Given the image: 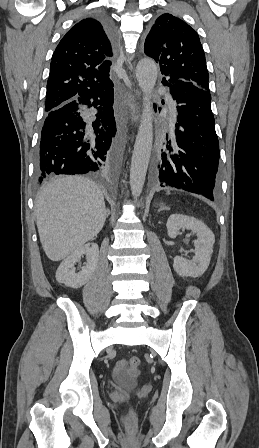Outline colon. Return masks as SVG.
<instances>
[{
	"label": "colon",
	"mask_w": 259,
	"mask_h": 448,
	"mask_svg": "<svg viewBox=\"0 0 259 448\" xmlns=\"http://www.w3.org/2000/svg\"><path fill=\"white\" fill-rule=\"evenodd\" d=\"M128 364L131 370H136L140 366V359L136 356H133L129 359ZM135 422H136L135 413L134 411L131 410L128 414V420H127L128 428L130 430H134Z\"/></svg>",
	"instance_id": "1"
}]
</instances>
